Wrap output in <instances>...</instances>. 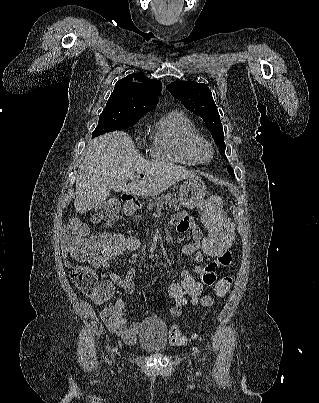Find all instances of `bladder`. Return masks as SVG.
I'll list each match as a JSON object with an SVG mask.
<instances>
[{
    "label": "bladder",
    "instance_id": "1",
    "mask_svg": "<svg viewBox=\"0 0 319 403\" xmlns=\"http://www.w3.org/2000/svg\"><path fill=\"white\" fill-rule=\"evenodd\" d=\"M140 328L137 346L149 353H160L165 349L168 330L161 318L149 317L140 323Z\"/></svg>",
    "mask_w": 319,
    "mask_h": 403
}]
</instances>
